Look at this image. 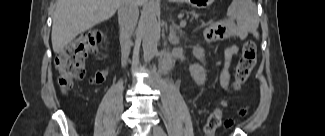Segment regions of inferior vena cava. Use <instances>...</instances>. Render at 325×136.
<instances>
[{
  "mask_svg": "<svg viewBox=\"0 0 325 136\" xmlns=\"http://www.w3.org/2000/svg\"><path fill=\"white\" fill-rule=\"evenodd\" d=\"M138 5L139 0H122L118 7V17L123 33V40L121 42L123 64H126L130 52V37L137 24Z\"/></svg>",
  "mask_w": 325,
  "mask_h": 136,
  "instance_id": "1",
  "label": "inferior vena cava"
}]
</instances>
